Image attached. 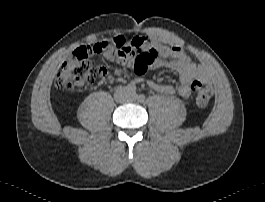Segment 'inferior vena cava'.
<instances>
[{
    "label": "inferior vena cava",
    "instance_id": "inferior-vena-cava-1",
    "mask_svg": "<svg viewBox=\"0 0 265 202\" xmlns=\"http://www.w3.org/2000/svg\"><path fill=\"white\" fill-rule=\"evenodd\" d=\"M126 91H125V89H118L117 91H116V93H115V99L117 100V101H119V102H122L123 100H124V98L123 97H121L120 95L121 94H124Z\"/></svg>",
    "mask_w": 265,
    "mask_h": 202
}]
</instances>
